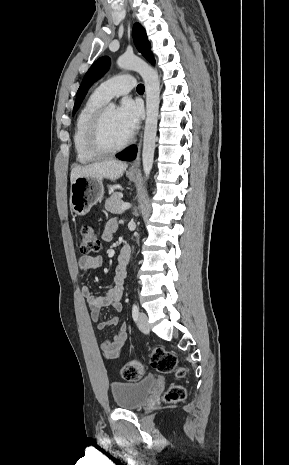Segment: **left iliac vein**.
Here are the masks:
<instances>
[{"label": "left iliac vein", "mask_w": 289, "mask_h": 465, "mask_svg": "<svg viewBox=\"0 0 289 465\" xmlns=\"http://www.w3.org/2000/svg\"><path fill=\"white\" fill-rule=\"evenodd\" d=\"M137 325L138 328L143 332V333H149L150 327L148 323V318L147 315L144 312H140L137 318Z\"/></svg>", "instance_id": "1"}]
</instances>
